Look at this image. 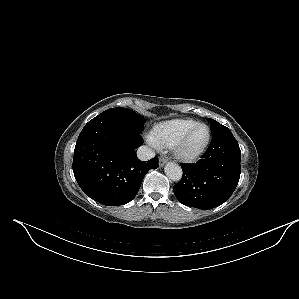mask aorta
<instances>
[{
  "label": "aorta",
  "instance_id": "1",
  "mask_svg": "<svg viewBox=\"0 0 299 299\" xmlns=\"http://www.w3.org/2000/svg\"><path fill=\"white\" fill-rule=\"evenodd\" d=\"M164 170L166 176L172 181H179L182 178V169L174 162L167 163Z\"/></svg>",
  "mask_w": 299,
  "mask_h": 299
}]
</instances>
